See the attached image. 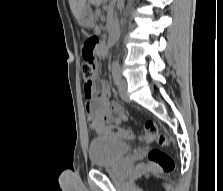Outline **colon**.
Segmentation results:
<instances>
[{"instance_id":"5ec220e1","label":"colon","mask_w":223,"mask_h":191,"mask_svg":"<svg viewBox=\"0 0 223 191\" xmlns=\"http://www.w3.org/2000/svg\"><path fill=\"white\" fill-rule=\"evenodd\" d=\"M100 41L96 35H89L86 37L82 47L83 64L81 66L82 76L86 83L93 82L96 70V57L99 52ZM105 134L126 140L141 139L132 131L120 128L118 126H109L104 131ZM142 139L146 142L157 141L159 146L166 147L169 143L166 135L159 133L158 127L154 121H147L145 123V135ZM175 163L172 157L164 150L155 148L150 150L148 154V162L141 164L140 169L156 170L164 174L173 172Z\"/></svg>"}]
</instances>
